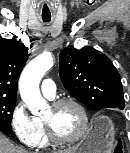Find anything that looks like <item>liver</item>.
Returning <instances> with one entry per match:
<instances>
[{
    "instance_id": "obj_1",
    "label": "liver",
    "mask_w": 130,
    "mask_h": 153,
    "mask_svg": "<svg viewBox=\"0 0 130 153\" xmlns=\"http://www.w3.org/2000/svg\"><path fill=\"white\" fill-rule=\"evenodd\" d=\"M74 150H65L60 153H72ZM0 153H27L26 150L16 147L0 132Z\"/></svg>"
}]
</instances>
